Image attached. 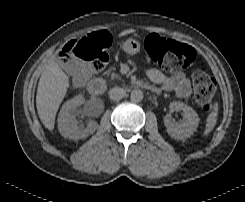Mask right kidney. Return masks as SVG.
<instances>
[{
    "label": "right kidney",
    "mask_w": 245,
    "mask_h": 202,
    "mask_svg": "<svg viewBox=\"0 0 245 202\" xmlns=\"http://www.w3.org/2000/svg\"><path fill=\"white\" fill-rule=\"evenodd\" d=\"M84 103L82 95L76 96L66 101L58 116V129L65 138L78 140L88 137L97 129V124L93 121L88 122L85 127L84 124H79L76 120L78 115L77 107Z\"/></svg>",
    "instance_id": "1"
}]
</instances>
